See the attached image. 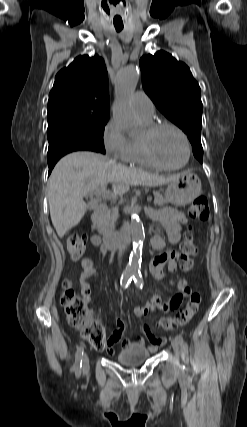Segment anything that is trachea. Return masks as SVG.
I'll return each instance as SVG.
<instances>
[{
    "label": "trachea",
    "instance_id": "3493384b",
    "mask_svg": "<svg viewBox=\"0 0 247 427\" xmlns=\"http://www.w3.org/2000/svg\"><path fill=\"white\" fill-rule=\"evenodd\" d=\"M117 32H120L123 29V25H115Z\"/></svg>",
    "mask_w": 247,
    "mask_h": 427
}]
</instances>
